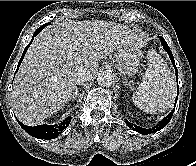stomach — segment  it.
<instances>
[{"label": "stomach", "mask_w": 196, "mask_h": 166, "mask_svg": "<svg viewBox=\"0 0 196 166\" xmlns=\"http://www.w3.org/2000/svg\"><path fill=\"white\" fill-rule=\"evenodd\" d=\"M142 52L135 46H124L117 50L115 66L124 76H132L138 73Z\"/></svg>", "instance_id": "1"}]
</instances>
